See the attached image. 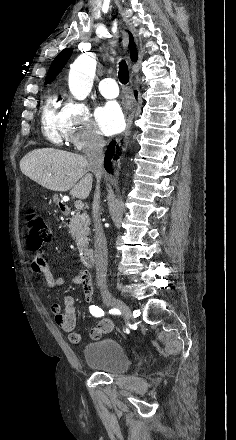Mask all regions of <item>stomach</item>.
I'll return each instance as SVG.
<instances>
[{"mask_svg":"<svg viewBox=\"0 0 236 440\" xmlns=\"http://www.w3.org/2000/svg\"><path fill=\"white\" fill-rule=\"evenodd\" d=\"M53 199H54V201H55L57 204L59 203V198H58L57 195H54Z\"/></svg>","mask_w":236,"mask_h":440,"instance_id":"0dacf381","label":"stomach"}]
</instances>
